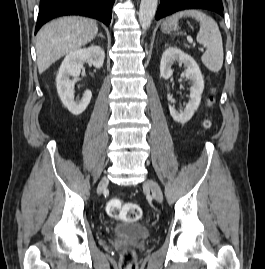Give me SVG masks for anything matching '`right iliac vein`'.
<instances>
[{
    "label": "right iliac vein",
    "instance_id": "63e3f726",
    "mask_svg": "<svg viewBox=\"0 0 265 269\" xmlns=\"http://www.w3.org/2000/svg\"><path fill=\"white\" fill-rule=\"evenodd\" d=\"M109 183V180L107 177H103L98 185V193H100Z\"/></svg>",
    "mask_w": 265,
    "mask_h": 269
}]
</instances>
